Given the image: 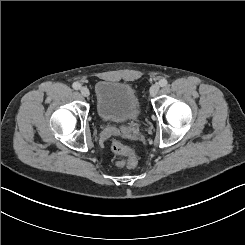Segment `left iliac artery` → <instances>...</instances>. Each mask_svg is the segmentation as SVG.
Returning a JSON list of instances; mask_svg holds the SVG:
<instances>
[{
  "instance_id": "left-iliac-artery-1",
  "label": "left iliac artery",
  "mask_w": 245,
  "mask_h": 245,
  "mask_svg": "<svg viewBox=\"0 0 245 245\" xmlns=\"http://www.w3.org/2000/svg\"><path fill=\"white\" fill-rule=\"evenodd\" d=\"M167 84H168V81H167L166 79H161V80L159 81V85H160L161 87H165V86H167Z\"/></svg>"
}]
</instances>
